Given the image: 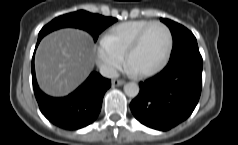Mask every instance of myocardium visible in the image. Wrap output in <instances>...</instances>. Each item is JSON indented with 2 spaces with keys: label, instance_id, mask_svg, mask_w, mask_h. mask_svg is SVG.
I'll list each match as a JSON object with an SVG mask.
<instances>
[{
  "label": "myocardium",
  "instance_id": "obj_1",
  "mask_svg": "<svg viewBox=\"0 0 238 145\" xmlns=\"http://www.w3.org/2000/svg\"><path fill=\"white\" fill-rule=\"evenodd\" d=\"M153 26H161L166 30V33H167V47H166V50L164 52V55L162 56L160 61L154 67H152L148 70H145V71L136 72L137 75H139L141 77H147V76H151V75L157 73L168 61V59L170 57V54H171V51H172V47H173V36H172V32H171L170 28L165 23H163L161 21H153V22L149 23L147 26H145L137 34V36L134 38V40L131 42V44L128 46V48H127V50L124 54L125 63L128 65V61H129V58H130L131 54L140 46L145 34Z\"/></svg>",
  "mask_w": 238,
  "mask_h": 145
}]
</instances>
